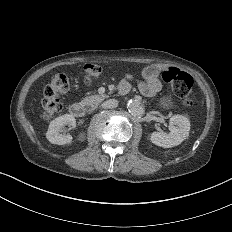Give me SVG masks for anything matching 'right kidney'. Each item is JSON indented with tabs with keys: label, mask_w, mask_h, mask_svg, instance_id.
Here are the masks:
<instances>
[{
	"label": "right kidney",
	"mask_w": 232,
	"mask_h": 232,
	"mask_svg": "<svg viewBox=\"0 0 232 232\" xmlns=\"http://www.w3.org/2000/svg\"><path fill=\"white\" fill-rule=\"evenodd\" d=\"M65 125H68V130H74L76 128L75 118L70 114H65L51 121L46 132L47 140L57 145L70 143L72 135L66 133Z\"/></svg>",
	"instance_id": "right-kidney-1"
}]
</instances>
